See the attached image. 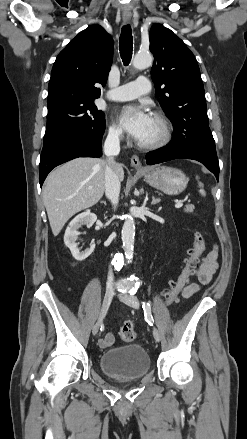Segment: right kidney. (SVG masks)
Returning a JSON list of instances; mask_svg holds the SVG:
<instances>
[{"instance_id":"obj_1","label":"right kidney","mask_w":247,"mask_h":439,"mask_svg":"<svg viewBox=\"0 0 247 439\" xmlns=\"http://www.w3.org/2000/svg\"><path fill=\"white\" fill-rule=\"evenodd\" d=\"M96 220H97V216L94 213H92L90 211H85V212L77 215L69 223V226L67 227V229L65 231L64 243L70 249L72 256L78 261L85 260L88 256L91 255V253L94 251V248H95V244H92L89 249H86L82 252L79 251V249L77 247V243H76L78 236L80 235V232L78 231V229L82 225H86L87 227H91Z\"/></svg>"}]
</instances>
